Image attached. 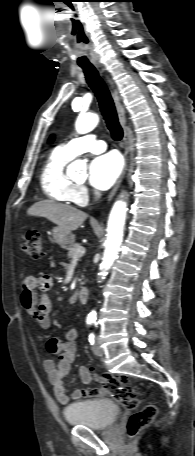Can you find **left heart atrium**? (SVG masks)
<instances>
[{
  "label": "left heart atrium",
  "instance_id": "39dd6f15",
  "mask_svg": "<svg viewBox=\"0 0 195 456\" xmlns=\"http://www.w3.org/2000/svg\"><path fill=\"white\" fill-rule=\"evenodd\" d=\"M122 170V161L115 152L95 157L89 165V182L100 190L110 188Z\"/></svg>",
  "mask_w": 195,
  "mask_h": 456
}]
</instances>
